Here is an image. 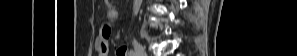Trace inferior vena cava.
Returning <instances> with one entry per match:
<instances>
[{
  "instance_id": "1",
  "label": "inferior vena cava",
  "mask_w": 297,
  "mask_h": 56,
  "mask_svg": "<svg viewBox=\"0 0 297 56\" xmlns=\"http://www.w3.org/2000/svg\"><path fill=\"white\" fill-rule=\"evenodd\" d=\"M137 10H138V7H137V4L134 5V14L136 15L137 14Z\"/></svg>"
}]
</instances>
